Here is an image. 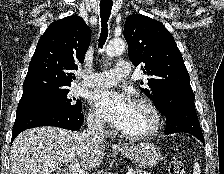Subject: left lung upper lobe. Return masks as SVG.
Here are the masks:
<instances>
[{"instance_id": "left-lung-upper-lobe-1", "label": "left lung upper lobe", "mask_w": 224, "mask_h": 174, "mask_svg": "<svg viewBox=\"0 0 224 174\" xmlns=\"http://www.w3.org/2000/svg\"><path fill=\"white\" fill-rule=\"evenodd\" d=\"M124 37L135 66L148 75L141 90L164 112L174 99H195L182 55L169 31L150 17H127Z\"/></svg>"}]
</instances>
